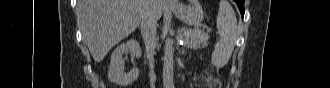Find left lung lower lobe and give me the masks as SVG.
I'll return each instance as SVG.
<instances>
[{"mask_svg": "<svg viewBox=\"0 0 330 88\" xmlns=\"http://www.w3.org/2000/svg\"><path fill=\"white\" fill-rule=\"evenodd\" d=\"M234 1L237 3V5L239 7V10L241 12L242 18H243V16H244V1L245 0H234Z\"/></svg>", "mask_w": 330, "mask_h": 88, "instance_id": "obj_1", "label": "left lung lower lobe"}]
</instances>
